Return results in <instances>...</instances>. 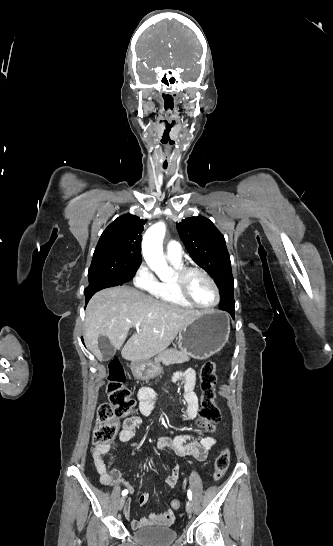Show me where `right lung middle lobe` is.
<instances>
[{
  "instance_id": "dd1d6c3e",
  "label": "right lung middle lobe",
  "mask_w": 333,
  "mask_h": 546,
  "mask_svg": "<svg viewBox=\"0 0 333 546\" xmlns=\"http://www.w3.org/2000/svg\"><path fill=\"white\" fill-rule=\"evenodd\" d=\"M139 265L134 264L130 256L116 252L94 253L88 270L89 283L106 280L118 283L129 282L136 274Z\"/></svg>"
}]
</instances>
